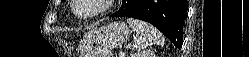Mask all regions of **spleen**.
<instances>
[{"label":"spleen","instance_id":"3e777b00","mask_svg":"<svg viewBox=\"0 0 249 57\" xmlns=\"http://www.w3.org/2000/svg\"><path fill=\"white\" fill-rule=\"evenodd\" d=\"M127 23L135 33V43L133 45L135 49L141 50L150 45H164V36L153 25L135 18H128Z\"/></svg>","mask_w":249,"mask_h":57}]
</instances>
